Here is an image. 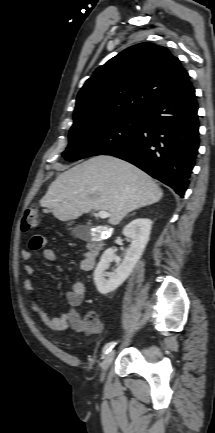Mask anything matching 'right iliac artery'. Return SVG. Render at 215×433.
Wrapping results in <instances>:
<instances>
[{
	"instance_id": "82829eb1",
	"label": "right iliac artery",
	"mask_w": 215,
	"mask_h": 433,
	"mask_svg": "<svg viewBox=\"0 0 215 433\" xmlns=\"http://www.w3.org/2000/svg\"><path fill=\"white\" fill-rule=\"evenodd\" d=\"M116 344H117L116 341L107 343L103 348V354H107L108 352H110Z\"/></svg>"
}]
</instances>
